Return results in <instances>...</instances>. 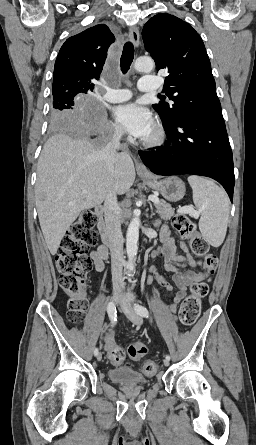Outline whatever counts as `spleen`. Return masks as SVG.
I'll return each mask as SVG.
<instances>
[{
  "instance_id": "1",
  "label": "spleen",
  "mask_w": 256,
  "mask_h": 445,
  "mask_svg": "<svg viewBox=\"0 0 256 445\" xmlns=\"http://www.w3.org/2000/svg\"><path fill=\"white\" fill-rule=\"evenodd\" d=\"M193 202L200 211L199 229L203 238L212 246L219 247L226 236L230 213L229 199L213 181L189 176Z\"/></svg>"
}]
</instances>
